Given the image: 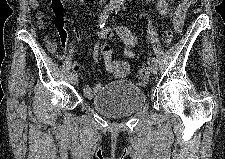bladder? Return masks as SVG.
<instances>
[{
  "instance_id": "obj_1",
  "label": "bladder",
  "mask_w": 225,
  "mask_h": 159,
  "mask_svg": "<svg viewBox=\"0 0 225 159\" xmlns=\"http://www.w3.org/2000/svg\"><path fill=\"white\" fill-rule=\"evenodd\" d=\"M146 102L144 90L129 80L112 81L103 85L90 101L93 108L111 118L132 116Z\"/></svg>"
}]
</instances>
